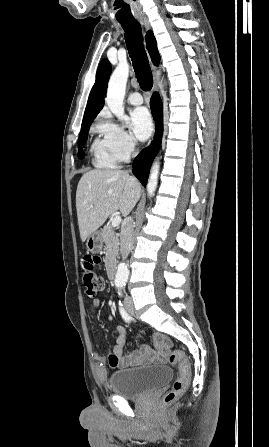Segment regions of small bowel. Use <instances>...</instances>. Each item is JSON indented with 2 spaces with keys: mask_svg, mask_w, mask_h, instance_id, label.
<instances>
[{
  "mask_svg": "<svg viewBox=\"0 0 269 447\" xmlns=\"http://www.w3.org/2000/svg\"><path fill=\"white\" fill-rule=\"evenodd\" d=\"M100 306L98 299L93 300L92 308L97 309ZM117 343L115 345V353L120 357V365L122 368L135 366L141 362L149 361L152 363L162 362L166 359L167 354L164 349L162 340L169 337L166 331H157L152 336L154 345L145 344L139 350L130 352L126 349V331L122 326L116 328Z\"/></svg>",
  "mask_w": 269,
  "mask_h": 447,
  "instance_id": "small-bowel-1",
  "label": "small bowel"
}]
</instances>
